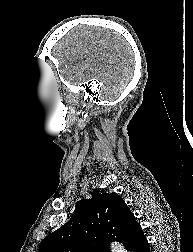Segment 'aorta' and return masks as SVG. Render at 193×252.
<instances>
[{
	"mask_svg": "<svg viewBox=\"0 0 193 252\" xmlns=\"http://www.w3.org/2000/svg\"><path fill=\"white\" fill-rule=\"evenodd\" d=\"M111 249L113 252H127L124 246H122L119 243H112L111 244Z\"/></svg>",
	"mask_w": 193,
	"mask_h": 252,
	"instance_id": "762f6f07",
	"label": "aorta"
}]
</instances>
